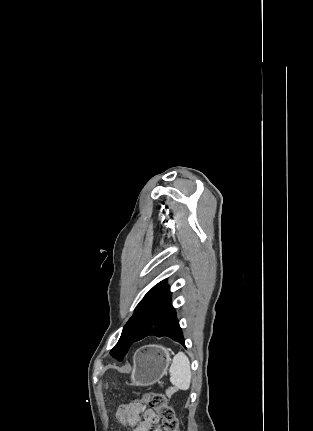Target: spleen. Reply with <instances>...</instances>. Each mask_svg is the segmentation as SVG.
<instances>
[{
	"label": "spleen",
	"mask_w": 313,
	"mask_h": 431,
	"mask_svg": "<svg viewBox=\"0 0 313 431\" xmlns=\"http://www.w3.org/2000/svg\"><path fill=\"white\" fill-rule=\"evenodd\" d=\"M170 382L181 390H188L191 384L190 361L188 357L179 352L173 357L170 369Z\"/></svg>",
	"instance_id": "obj_1"
}]
</instances>
